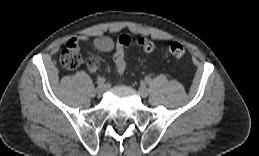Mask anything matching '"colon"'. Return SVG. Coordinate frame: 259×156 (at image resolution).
Listing matches in <instances>:
<instances>
[{"label": "colon", "instance_id": "1", "mask_svg": "<svg viewBox=\"0 0 259 156\" xmlns=\"http://www.w3.org/2000/svg\"><path fill=\"white\" fill-rule=\"evenodd\" d=\"M130 43L131 38L128 35H120L117 39L114 63L116 70L120 75H122L126 70L125 48L129 46ZM137 43L145 53H151L155 49L154 43L146 38H139ZM169 52L177 59H181L185 56V48L179 42L171 43L169 46ZM61 63L67 69H76L81 63L78 51L73 47L66 46L61 54Z\"/></svg>", "mask_w": 259, "mask_h": 156}]
</instances>
